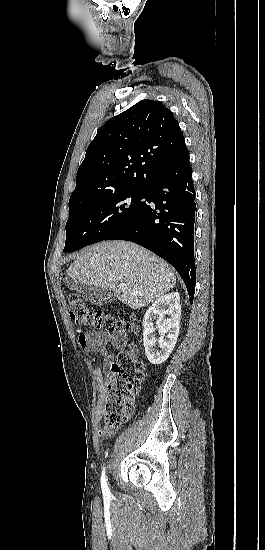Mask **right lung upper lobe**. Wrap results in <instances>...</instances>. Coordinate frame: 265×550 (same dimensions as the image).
I'll use <instances>...</instances> for the list:
<instances>
[{
	"label": "right lung upper lobe",
	"mask_w": 265,
	"mask_h": 550,
	"mask_svg": "<svg viewBox=\"0 0 265 550\" xmlns=\"http://www.w3.org/2000/svg\"><path fill=\"white\" fill-rule=\"evenodd\" d=\"M186 149L172 112L159 101L141 100L98 130L77 171L69 201L148 189Z\"/></svg>",
	"instance_id": "cb5924a9"
}]
</instances>
